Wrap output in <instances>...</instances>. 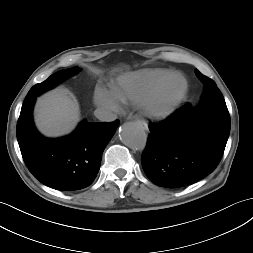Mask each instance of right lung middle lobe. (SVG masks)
Returning a JSON list of instances; mask_svg holds the SVG:
<instances>
[{
	"label": "right lung middle lobe",
	"instance_id": "obj_1",
	"mask_svg": "<svg viewBox=\"0 0 253 253\" xmlns=\"http://www.w3.org/2000/svg\"><path fill=\"white\" fill-rule=\"evenodd\" d=\"M78 71H79L78 67H73V68H70L66 71L62 70V71H59V72L51 75L44 82L34 85L30 89V91L28 92L25 99H27L31 96H37V95L53 88L54 86H56L58 83H60L64 79L68 78L69 76H72V75L76 74Z\"/></svg>",
	"mask_w": 253,
	"mask_h": 253
}]
</instances>
